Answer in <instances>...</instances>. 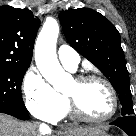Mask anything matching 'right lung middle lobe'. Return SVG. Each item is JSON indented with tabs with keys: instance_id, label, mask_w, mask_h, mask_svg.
Masks as SVG:
<instances>
[{
	"instance_id": "1",
	"label": "right lung middle lobe",
	"mask_w": 136,
	"mask_h": 136,
	"mask_svg": "<svg viewBox=\"0 0 136 136\" xmlns=\"http://www.w3.org/2000/svg\"><path fill=\"white\" fill-rule=\"evenodd\" d=\"M28 67L0 66V111L28 113L21 95V83Z\"/></svg>"
}]
</instances>
